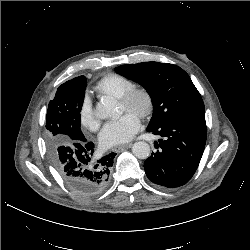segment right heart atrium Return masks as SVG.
Here are the masks:
<instances>
[{
    "label": "right heart atrium",
    "instance_id": "right-heart-atrium-1",
    "mask_svg": "<svg viewBox=\"0 0 250 250\" xmlns=\"http://www.w3.org/2000/svg\"><path fill=\"white\" fill-rule=\"evenodd\" d=\"M79 117L81 125L86 129L90 131H95L98 129L100 122L93 111L91 99L89 97H86L83 100Z\"/></svg>",
    "mask_w": 250,
    "mask_h": 250
}]
</instances>
